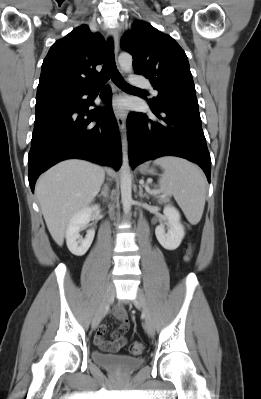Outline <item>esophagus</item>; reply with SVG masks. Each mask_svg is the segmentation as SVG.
I'll list each match as a JSON object with an SVG mask.
<instances>
[{
  "mask_svg": "<svg viewBox=\"0 0 261 399\" xmlns=\"http://www.w3.org/2000/svg\"><path fill=\"white\" fill-rule=\"evenodd\" d=\"M109 34L113 40L115 57H117L118 51H119V33H118L117 28H113V29L109 30ZM119 94H120L119 92H117V91L115 92L116 97ZM114 113H115V117H116L119 129L121 131H123L124 127H125L126 113L124 110H119L118 108H115Z\"/></svg>",
  "mask_w": 261,
  "mask_h": 399,
  "instance_id": "esophagus-1",
  "label": "esophagus"
}]
</instances>
